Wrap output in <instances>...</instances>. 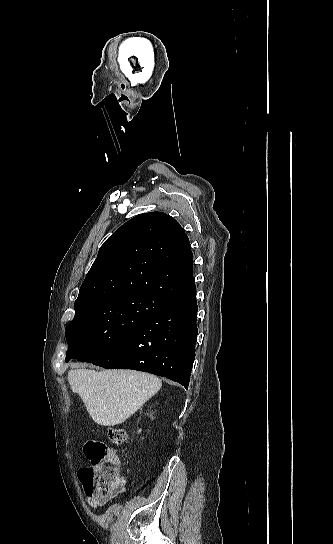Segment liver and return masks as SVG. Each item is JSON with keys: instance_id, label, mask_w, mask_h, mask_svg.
<instances>
[{"instance_id": "6515ba94", "label": "liver", "mask_w": 333, "mask_h": 544, "mask_svg": "<svg viewBox=\"0 0 333 544\" xmlns=\"http://www.w3.org/2000/svg\"><path fill=\"white\" fill-rule=\"evenodd\" d=\"M68 382L102 426L123 423L162 386L157 376L133 370H70Z\"/></svg>"}]
</instances>
